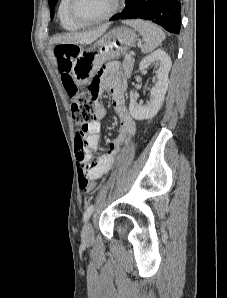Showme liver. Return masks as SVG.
Instances as JSON below:
<instances>
[{
  "label": "liver",
  "instance_id": "liver-1",
  "mask_svg": "<svg viewBox=\"0 0 227 298\" xmlns=\"http://www.w3.org/2000/svg\"><path fill=\"white\" fill-rule=\"evenodd\" d=\"M108 27L109 25H103L92 31L58 35L50 41V44H91L94 41H96L99 37H101L106 32Z\"/></svg>",
  "mask_w": 227,
  "mask_h": 298
}]
</instances>
